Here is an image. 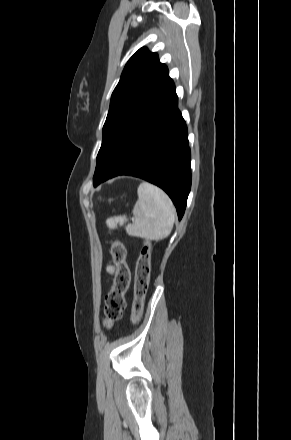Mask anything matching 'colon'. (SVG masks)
I'll return each mask as SVG.
<instances>
[{
    "mask_svg": "<svg viewBox=\"0 0 291 440\" xmlns=\"http://www.w3.org/2000/svg\"><path fill=\"white\" fill-rule=\"evenodd\" d=\"M151 247L150 241H144L136 264L135 299L132 307V319L134 321L139 318L142 312L143 298L149 287ZM111 255L115 265V279L104 303V326L106 328H109L122 315L125 305L124 294L130 277L126 262V248L121 241L115 240L112 243Z\"/></svg>",
    "mask_w": 291,
    "mask_h": 440,
    "instance_id": "colon-1",
    "label": "colon"
}]
</instances>
